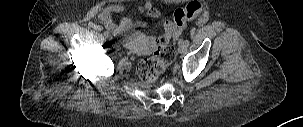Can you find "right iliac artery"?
<instances>
[{"instance_id":"obj_1","label":"right iliac artery","mask_w":303,"mask_h":127,"mask_svg":"<svg viewBox=\"0 0 303 127\" xmlns=\"http://www.w3.org/2000/svg\"><path fill=\"white\" fill-rule=\"evenodd\" d=\"M96 29L99 30V31H101V30H102V27L96 26ZM103 34H104V36H105L106 38H109V37H110L109 33L106 32V31H104Z\"/></svg>"}]
</instances>
